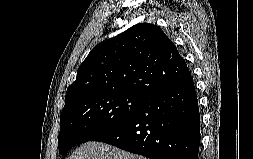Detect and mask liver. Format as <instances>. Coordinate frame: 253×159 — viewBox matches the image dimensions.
<instances>
[{"mask_svg": "<svg viewBox=\"0 0 253 159\" xmlns=\"http://www.w3.org/2000/svg\"><path fill=\"white\" fill-rule=\"evenodd\" d=\"M69 159H147L112 145L89 141L77 148Z\"/></svg>", "mask_w": 253, "mask_h": 159, "instance_id": "6515ba94", "label": "liver"}]
</instances>
